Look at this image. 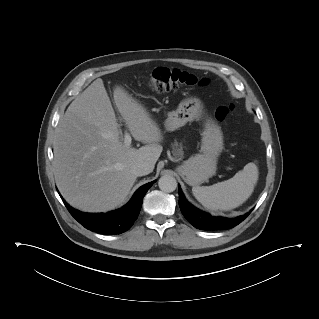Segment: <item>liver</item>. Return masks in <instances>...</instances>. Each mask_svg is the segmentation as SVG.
<instances>
[{"label": "liver", "mask_w": 319, "mask_h": 319, "mask_svg": "<svg viewBox=\"0 0 319 319\" xmlns=\"http://www.w3.org/2000/svg\"><path fill=\"white\" fill-rule=\"evenodd\" d=\"M114 103L137 141L126 146L101 78L69 105L56 129L54 175L64 199L84 212H107L127 198L136 177L131 166L147 162L153 171L162 152V132L149 112L120 86ZM151 171V172H152Z\"/></svg>", "instance_id": "1"}]
</instances>
